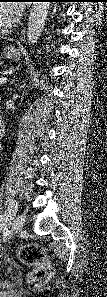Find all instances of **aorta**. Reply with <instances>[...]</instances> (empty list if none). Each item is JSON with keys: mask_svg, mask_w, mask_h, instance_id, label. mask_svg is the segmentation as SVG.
<instances>
[{"mask_svg": "<svg viewBox=\"0 0 107 297\" xmlns=\"http://www.w3.org/2000/svg\"><path fill=\"white\" fill-rule=\"evenodd\" d=\"M49 7V2H33L27 23V42L29 45L37 43L41 36Z\"/></svg>", "mask_w": 107, "mask_h": 297, "instance_id": "762f6f07", "label": "aorta"}]
</instances>
